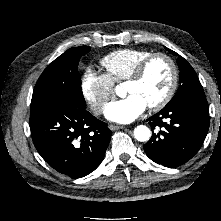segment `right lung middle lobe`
Instances as JSON below:
<instances>
[{
  "instance_id": "obj_1",
  "label": "right lung middle lobe",
  "mask_w": 221,
  "mask_h": 221,
  "mask_svg": "<svg viewBox=\"0 0 221 221\" xmlns=\"http://www.w3.org/2000/svg\"><path fill=\"white\" fill-rule=\"evenodd\" d=\"M90 49V47L70 48L46 67L35 85L31 111L46 108L60 100L85 106L77 66L81 56Z\"/></svg>"
}]
</instances>
